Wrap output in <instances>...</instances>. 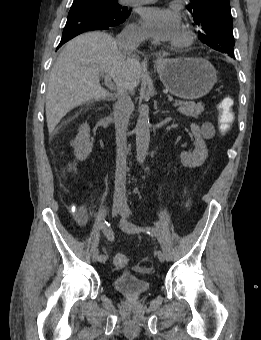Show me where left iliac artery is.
<instances>
[{"label": "left iliac artery", "instance_id": "obj_1", "mask_svg": "<svg viewBox=\"0 0 261 340\" xmlns=\"http://www.w3.org/2000/svg\"><path fill=\"white\" fill-rule=\"evenodd\" d=\"M126 229L130 232H141L144 231L147 234L156 237V239L158 240V243L166 257L167 260H171L172 259V253L171 250L166 242V240L164 239V237L161 235V233H159L157 230L150 228V227H142L139 225H135L131 222H126L125 224Z\"/></svg>", "mask_w": 261, "mask_h": 340}]
</instances>
